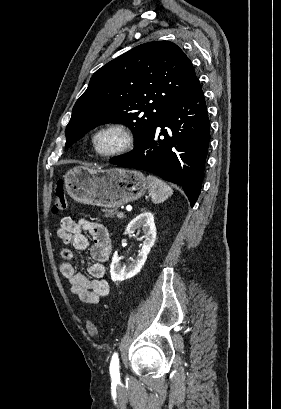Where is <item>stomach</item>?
I'll list each match as a JSON object with an SVG mask.
<instances>
[{"instance_id":"stomach-1","label":"stomach","mask_w":281,"mask_h":409,"mask_svg":"<svg viewBox=\"0 0 281 409\" xmlns=\"http://www.w3.org/2000/svg\"><path fill=\"white\" fill-rule=\"evenodd\" d=\"M64 188L71 198L82 205H96L105 209L122 207L140 198L148 182L139 170L126 168H88L73 166L64 176Z\"/></svg>"}]
</instances>
